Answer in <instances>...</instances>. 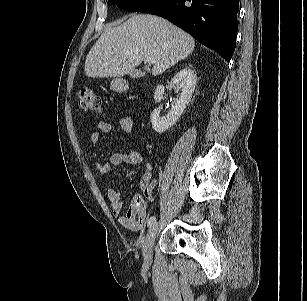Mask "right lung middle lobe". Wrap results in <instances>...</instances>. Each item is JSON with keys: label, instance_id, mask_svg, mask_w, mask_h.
Segmentation results:
<instances>
[{"label": "right lung middle lobe", "instance_id": "dd1d6c3e", "mask_svg": "<svg viewBox=\"0 0 307 301\" xmlns=\"http://www.w3.org/2000/svg\"><path fill=\"white\" fill-rule=\"evenodd\" d=\"M157 0H108L109 4L117 5L127 11H140Z\"/></svg>", "mask_w": 307, "mask_h": 301}]
</instances>
